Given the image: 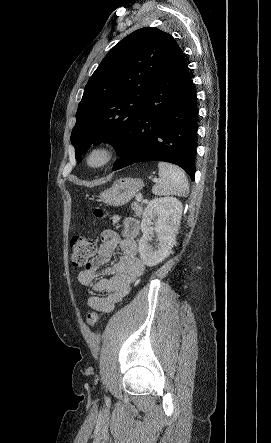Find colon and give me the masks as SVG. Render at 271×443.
<instances>
[{
  "mask_svg": "<svg viewBox=\"0 0 271 443\" xmlns=\"http://www.w3.org/2000/svg\"><path fill=\"white\" fill-rule=\"evenodd\" d=\"M94 215L98 218L104 217V212L101 209H95ZM113 222H117L118 218L113 217ZM71 262L74 266L80 267L88 263L89 259L96 252V244L93 240L81 234H76L71 238ZM87 322L90 326H95L98 322V314L91 310L87 314Z\"/></svg>",
  "mask_w": 271,
  "mask_h": 443,
  "instance_id": "5ec220e1",
  "label": "colon"
}]
</instances>
